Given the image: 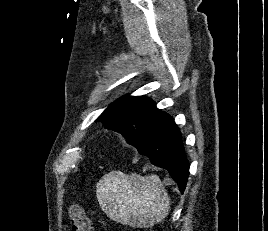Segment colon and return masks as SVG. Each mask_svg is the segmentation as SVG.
<instances>
[{
    "label": "colon",
    "instance_id": "1",
    "mask_svg": "<svg viewBox=\"0 0 268 231\" xmlns=\"http://www.w3.org/2000/svg\"><path fill=\"white\" fill-rule=\"evenodd\" d=\"M69 221L73 231H93V225L89 216L79 204L71 205Z\"/></svg>",
    "mask_w": 268,
    "mask_h": 231
}]
</instances>
